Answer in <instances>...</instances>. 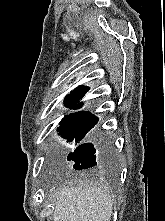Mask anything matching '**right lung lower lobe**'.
<instances>
[{
    "label": "right lung lower lobe",
    "mask_w": 165,
    "mask_h": 221,
    "mask_svg": "<svg viewBox=\"0 0 165 221\" xmlns=\"http://www.w3.org/2000/svg\"><path fill=\"white\" fill-rule=\"evenodd\" d=\"M67 159L75 162L76 170L97 167L109 169L113 165L111 147L106 141H101L96 148L92 143L81 144L68 155Z\"/></svg>",
    "instance_id": "obj_1"
}]
</instances>
